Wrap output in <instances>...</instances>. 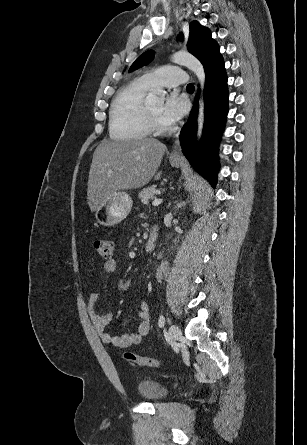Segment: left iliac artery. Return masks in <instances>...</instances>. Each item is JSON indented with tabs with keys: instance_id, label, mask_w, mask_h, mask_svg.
<instances>
[{
	"instance_id": "left-iliac-artery-1",
	"label": "left iliac artery",
	"mask_w": 307,
	"mask_h": 445,
	"mask_svg": "<svg viewBox=\"0 0 307 445\" xmlns=\"http://www.w3.org/2000/svg\"><path fill=\"white\" fill-rule=\"evenodd\" d=\"M158 325L160 328H162L165 325V317L163 315H160L158 320Z\"/></svg>"
}]
</instances>
